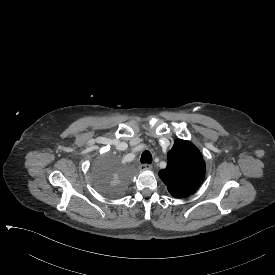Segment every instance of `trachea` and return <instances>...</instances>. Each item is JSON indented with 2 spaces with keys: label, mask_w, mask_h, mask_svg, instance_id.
Wrapping results in <instances>:
<instances>
[{
  "label": "trachea",
  "mask_w": 275,
  "mask_h": 275,
  "mask_svg": "<svg viewBox=\"0 0 275 275\" xmlns=\"http://www.w3.org/2000/svg\"><path fill=\"white\" fill-rule=\"evenodd\" d=\"M141 163L142 164H151L152 163V155L149 151H144L141 155Z\"/></svg>",
  "instance_id": "3493384b"
}]
</instances>
